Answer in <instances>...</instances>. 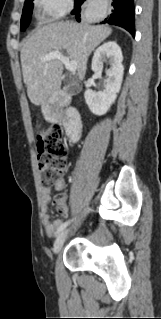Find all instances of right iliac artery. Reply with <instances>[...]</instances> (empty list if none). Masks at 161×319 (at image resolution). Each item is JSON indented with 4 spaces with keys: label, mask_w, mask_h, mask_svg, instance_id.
<instances>
[{
    "label": "right iliac artery",
    "mask_w": 161,
    "mask_h": 319,
    "mask_svg": "<svg viewBox=\"0 0 161 319\" xmlns=\"http://www.w3.org/2000/svg\"><path fill=\"white\" fill-rule=\"evenodd\" d=\"M69 223H70V221H67V222L63 223V224L57 229L55 235L57 236L60 232H62V231L66 228V226H67Z\"/></svg>",
    "instance_id": "obj_1"
}]
</instances>
